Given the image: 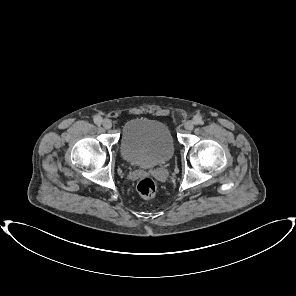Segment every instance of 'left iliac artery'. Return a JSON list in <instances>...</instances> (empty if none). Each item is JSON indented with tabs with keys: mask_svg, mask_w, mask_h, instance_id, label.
<instances>
[{
	"mask_svg": "<svg viewBox=\"0 0 296 296\" xmlns=\"http://www.w3.org/2000/svg\"><path fill=\"white\" fill-rule=\"evenodd\" d=\"M204 122L200 116H195L194 118V124L196 125H202Z\"/></svg>",
	"mask_w": 296,
	"mask_h": 296,
	"instance_id": "1",
	"label": "left iliac artery"
}]
</instances>
